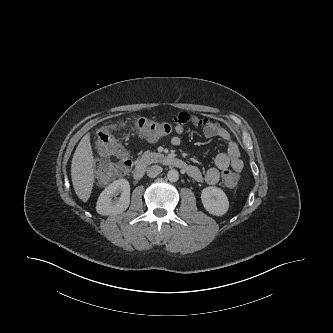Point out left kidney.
Returning a JSON list of instances; mask_svg holds the SVG:
<instances>
[{
  "mask_svg": "<svg viewBox=\"0 0 333 333\" xmlns=\"http://www.w3.org/2000/svg\"><path fill=\"white\" fill-rule=\"evenodd\" d=\"M204 208L212 215L222 216L229 209V201L225 192L218 187H206L201 192Z\"/></svg>",
  "mask_w": 333,
  "mask_h": 333,
  "instance_id": "1",
  "label": "left kidney"
}]
</instances>
